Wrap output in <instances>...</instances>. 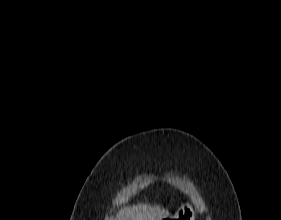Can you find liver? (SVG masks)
<instances>
[{
    "instance_id": "obj_1",
    "label": "liver",
    "mask_w": 281,
    "mask_h": 220,
    "mask_svg": "<svg viewBox=\"0 0 281 220\" xmlns=\"http://www.w3.org/2000/svg\"><path fill=\"white\" fill-rule=\"evenodd\" d=\"M168 216V210L159 205L138 204L121 209L116 220H162Z\"/></svg>"
}]
</instances>
